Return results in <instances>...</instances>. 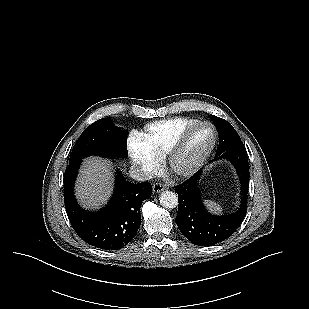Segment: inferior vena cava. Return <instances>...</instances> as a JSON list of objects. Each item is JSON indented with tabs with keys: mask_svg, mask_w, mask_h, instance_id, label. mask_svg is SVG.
Returning <instances> with one entry per match:
<instances>
[{
	"mask_svg": "<svg viewBox=\"0 0 309 309\" xmlns=\"http://www.w3.org/2000/svg\"><path fill=\"white\" fill-rule=\"evenodd\" d=\"M129 172L130 176L137 181H146L151 178V175L148 172L143 171L141 168L136 166L131 167Z\"/></svg>",
	"mask_w": 309,
	"mask_h": 309,
	"instance_id": "602c4592",
	"label": "inferior vena cava"
}]
</instances>
